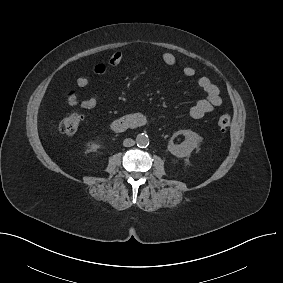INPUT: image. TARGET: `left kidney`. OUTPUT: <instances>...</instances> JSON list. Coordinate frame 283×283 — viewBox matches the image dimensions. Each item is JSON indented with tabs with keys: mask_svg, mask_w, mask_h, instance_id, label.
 Listing matches in <instances>:
<instances>
[{
	"mask_svg": "<svg viewBox=\"0 0 283 283\" xmlns=\"http://www.w3.org/2000/svg\"><path fill=\"white\" fill-rule=\"evenodd\" d=\"M182 134L185 136L186 141L181 144H174L172 140L169 141L168 151L178 158L189 157L191 152L198 147L201 137L191 130H179L174 133L173 137Z\"/></svg>",
	"mask_w": 283,
	"mask_h": 283,
	"instance_id": "1",
	"label": "left kidney"
}]
</instances>
